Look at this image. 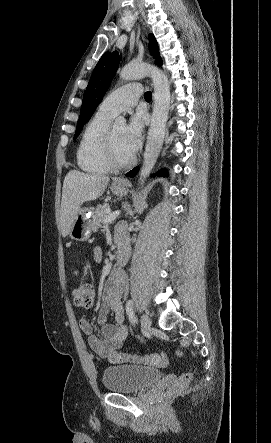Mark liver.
<instances>
[{
    "label": "liver",
    "mask_w": 271,
    "mask_h": 443,
    "mask_svg": "<svg viewBox=\"0 0 271 443\" xmlns=\"http://www.w3.org/2000/svg\"><path fill=\"white\" fill-rule=\"evenodd\" d=\"M110 178L108 176H94L71 170L65 176L61 200V231L63 237L68 235L72 223L76 220L84 202L97 200L105 192Z\"/></svg>",
    "instance_id": "obj_1"
}]
</instances>
